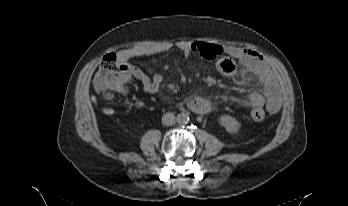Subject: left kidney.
<instances>
[{
    "mask_svg": "<svg viewBox=\"0 0 348 206\" xmlns=\"http://www.w3.org/2000/svg\"><path fill=\"white\" fill-rule=\"evenodd\" d=\"M219 122L229 133H237L241 127V123L230 115L220 116Z\"/></svg>",
    "mask_w": 348,
    "mask_h": 206,
    "instance_id": "1",
    "label": "left kidney"
}]
</instances>
